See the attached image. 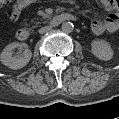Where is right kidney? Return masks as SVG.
Wrapping results in <instances>:
<instances>
[{
    "mask_svg": "<svg viewBox=\"0 0 119 119\" xmlns=\"http://www.w3.org/2000/svg\"><path fill=\"white\" fill-rule=\"evenodd\" d=\"M15 48H19L20 52L13 55ZM32 57V52L29 50L27 44H20L13 42L7 45L1 53L0 60L3 65L11 69H20L28 64Z\"/></svg>",
    "mask_w": 119,
    "mask_h": 119,
    "instance_id": "1",
    "label": "right kidney"
}]
</instances>
